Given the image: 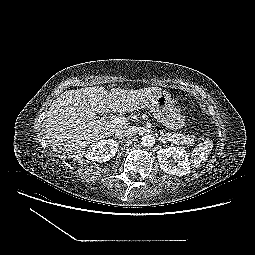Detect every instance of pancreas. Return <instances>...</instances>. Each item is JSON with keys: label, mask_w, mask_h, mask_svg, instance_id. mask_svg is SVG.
<instances>
[{"label": "pancreas", "mask_w": 255, "mask_h": 255, "mask_svg": "<svg viewBox=\"0 0 255 255\" xmlns=\"http://www.w3.org/2000/svg\"><path fill=\"white\" fill-rule=\"evenodd\" d=\"M165 139L174 144H182L187 146H192L195 142L193 137L177 133L176 134L167 133L165 135Z\"/></svg>", "instance_id": "pancreas-1"}]
</instances>
